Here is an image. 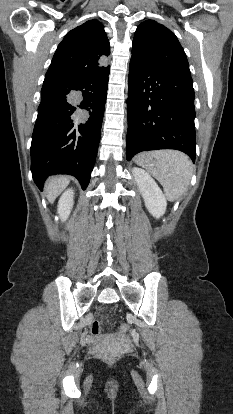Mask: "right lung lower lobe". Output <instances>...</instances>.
Instances as JSON below:
<instances>
[{
    "mask_svg": "<svg viewBox=\"0 0 233 414\" xmlns=\"http://www.w3.org/2000/svg\"><path fill=\"white\" fill-rule=\"evenodd\" d=\"M109 68L89 76H46L31 144V171L42 189L53 174L75 176L85 189L101 136Z\"/></svg>",
    "mask_w": 233,
    "mask_h": 414,
    "instance_id": "1",
    "label": "right lung lower lobe"
}]
</instances>
